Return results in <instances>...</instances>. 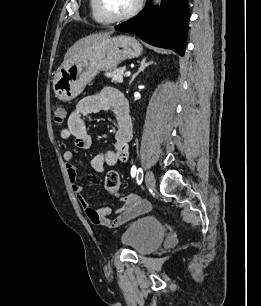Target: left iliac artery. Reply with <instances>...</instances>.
Returning <instances> with one entry per match:
<instances>
[{"label":"left iliac artery","mask_w":261,"mask_h":306,"mask_svg":"<svg viewBox=\"0 0 261 306\" xmlns=\"http://www.w3.org/2000/svg\"><path fill=\"white\" fill-rule=\"evenodd\" d=\"M137 173V182L140 184L143 180V171L141 168L136 169L135 166L131 168V176L134 177Z\"/></svg>","instance_id":"44dca946"}]
</instances>
